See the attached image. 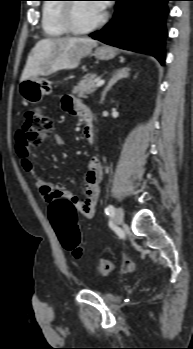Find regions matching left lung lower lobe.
<instances>
[{
  "label": "left lung lower lobe",
  "mask_w": 193,
  "mask_h": 349,
  "mask_svg": "<svg viewBox=\"0 0 193 349\" xmlns=\"http://www.w3.org/2000/svg\"><path fill=\"white\" fill-rule=\"evenodd\" d=\"M114 1L112 21L90 36L108 45L151 54L164 64L166 4L170 0Z\"/></svg>",
  "instance_id": "obj_1"
}]
</instances>
